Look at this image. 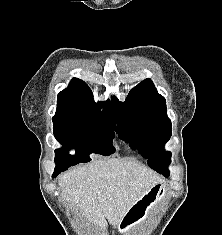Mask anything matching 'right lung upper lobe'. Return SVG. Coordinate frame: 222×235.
I'll use <instances>...</instances> for the list:
<instances>
[{"label": "right lung upper lobe", "instance_id": "obj_1", "mask_svg": "<svg viewBox=\"0 0 222 235\" xmlns=\"http://www.w3.org/2000/svg\"><path fill=\"white\" fill-rule=\"evenodd\" d=\"M100 108L104 111L100 112ZM64 115H94L117 121L113 101L95 103L89 86L78 78H73L68 88L58 94L55 116Z\"/></svg>", "mask_w": 222, "mask_h": 235}]
</instances>
